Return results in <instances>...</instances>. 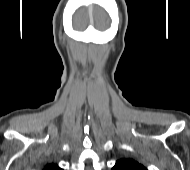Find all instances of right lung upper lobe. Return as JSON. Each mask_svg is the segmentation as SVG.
<instances>
[{"instance_id": "cb5924a9", "label": "right lung upper lobe", "mask_w": 190, "mask_h": 170, "mask_svg": "<svg viewBox=\"0 0 190 170\" xmlns=\"http://www.w3.org/2000/svg\"><path fill=\"white\" fill-rule=\"evenodd\" d=\"M43 170H62L56 164H49Z\"/></svg>"}]
</instances>
